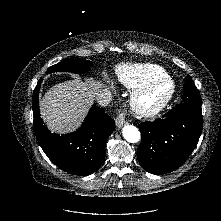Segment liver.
<instances>
[{"instance_id":"liver-1","label":"liver","mask_w":221,"mask_h":221,"mask_svg":"<svg viewBox=\"0 0 221 221\" xmlns=\"http://www.w3.org/2000/svg\"><path fill=\"white\" fill-rule=\"evenodd\" d=\"M103 85L92 78L73 79L52 86L40 101L41 117L55 133L76 130Z\"/></svg>"}]
</instances>
